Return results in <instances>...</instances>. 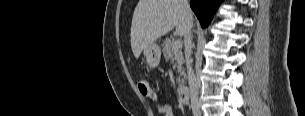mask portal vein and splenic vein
I'll return each instance as SVG.
<instances>
[{"instance_id":"portal-vein-and-splenic-vein-1","label":"portal vein and splenic vein","mask_w":305,"mask_h":116,"mask_svg":"<svg viewBox=\"0 0 305 116\" xmlns=\"http://www.w3.org/2000/svg\"><path fill=\"white\" fill-rule=\"evenodd\" d=\"M182 48V42L181 41H174L172 45L173 50H178Z\"/></svg>"}]
</instances>
